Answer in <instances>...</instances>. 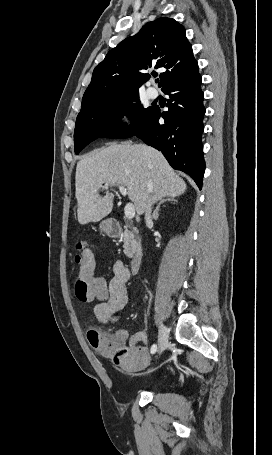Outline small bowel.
Instances as JSON below:
<instances>
[{"label": "small bowel", "mask_w": 272, "mask_h": 455, "mask_svg": "<svg viewBox=\"0 0 272 455\" xmlns=\"http://www.w3.org/2000/svg\"><path fill=\"white\" fill-rule=\"evenodd\" d=\"M131 276L130 270L120 260L113 264V276L107 285V296L96 304L94 313L100 322L116 321L119 313L128 302L126 284ZM114 338L121 344H126L130 350L128 363L124 372L127 374L137 373L145 369L151 362V355L145 347L139 343H147L148 337L145 332H137L129 335L126 330H117Z\"/></svg>", "instance_id": "1"}]
</instances>
